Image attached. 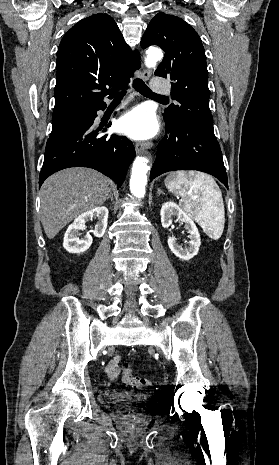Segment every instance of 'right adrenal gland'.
Segmentation results:
<instances>
[{
    "label": "right adrenal gland",
    "instance_id": "1",
    "mask_svg": "<svg viewBox=\"0 0 279 465\" xmlns=\"http://www.w3.org/2000/svg\"><path fill=\"white\" fill-rule=\"evenodd\" d=\"M108 199H111V201H113V195H112L111 190L109 191V196L107 197V200H108Z\"/></svg>",
    "mask_w": 279,
    "mask_h": 465
}]
</instances>
